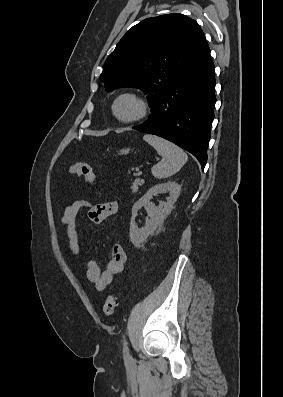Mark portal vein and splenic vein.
I'll list each match as a JSON object with an SVG mask.
<instances>
[{"label":"portal vein and splenic vein","instance_id":"1","mask_svg":"<svg viewBox=\"0 0 283 397\" xmlns=\"http://www.w3.org/2000/svg\"><path fill=\"white\" fill-rule=\"evenodd\" d=\"M141 175H142V171H138L137 176H141Z\"/></svg>","mask_w":283,"mask_h":397}]
</instances>
